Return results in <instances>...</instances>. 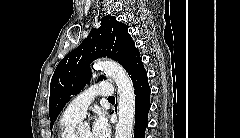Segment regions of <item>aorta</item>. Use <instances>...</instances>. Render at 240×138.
I'll return each mask as SVG.
<instances>
[{
    "label": "aorta",
    "instance_id": "762f6f07",
    "mask_svg": "<svg viewBox=\"0 0 240 138\" xmlns=\"http://www.w3.org/2000/svg\"><path fill=\"white\" fill-rule=\"evenodd\" d=\"M94 66L111 78L117 87L118 122L115 138H132L135 117V93L132 80L124 68L112 60H97Z\"/></svg>",
    "mask_w": 240,
    "mask_h": 138
}]
</instances>
